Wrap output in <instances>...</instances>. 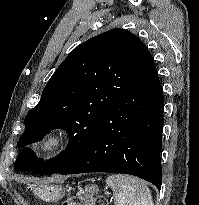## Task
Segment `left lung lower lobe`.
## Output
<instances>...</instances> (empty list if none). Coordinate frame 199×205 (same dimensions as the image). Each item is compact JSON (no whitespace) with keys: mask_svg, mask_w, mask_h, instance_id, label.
<instances>
[{"mask_svg":"<svg viewBox=\"0 0 199 205\" xmlns=\"http://www.w3.org/2000/svg\"><path fill=\"white\" fill-rule=\"evenodd\" d=\"M163 90L144 45L124 93L104 115L84 152L59 174H131L161 188Z\"/></svg>","mask_w":199,"mask_h":205,"instance_id":"obj_1","label":"left lung lower lobe"}]
</instances>
